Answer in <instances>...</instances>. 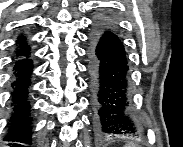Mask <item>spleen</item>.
<instances>
[{"label":"spleen","mask_w":183,"mask_h":147,"mask_svg":"<svg viewBox=\"0 0 183 147\" xmlns=\"http://www.w3.org/2000/svg\"><path fill=\"white\" fill-rule=\"evenodd\" d=\"M125 147H137L134 143H128L125 145Z\"/></svg>","instance_id":"1"}]
</instances>
